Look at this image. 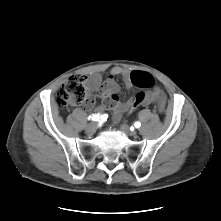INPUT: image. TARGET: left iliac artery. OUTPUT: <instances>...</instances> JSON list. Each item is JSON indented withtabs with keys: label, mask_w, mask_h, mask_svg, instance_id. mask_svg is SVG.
Listing matches in <instances>:
<instances>
[{
	"label": "left iliac artery",
	"mask_w": 221,
	"mask_h": 221,
	"mask_svg": "<svg viewBox=\"0 0 221 221\" xmlns=\"http://www.w3.org/2000/svg\"><path fill=\"white\" fill-rule=\"evenodd\" d=\"M134 126H135L136 128H139V127L141 126V123H140V122H135Z\"/></svg>",
	"instance_id": "1"
}]
</instances>
